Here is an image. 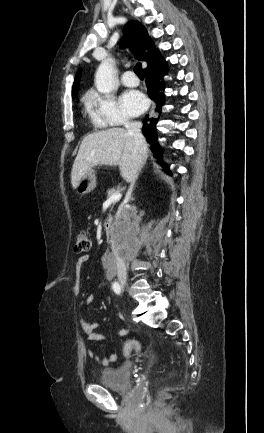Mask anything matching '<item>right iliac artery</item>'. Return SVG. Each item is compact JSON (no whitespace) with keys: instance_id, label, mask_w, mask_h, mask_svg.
<instances>
[{"instance_id":"obj_1","label":"right iliac artery","mask_w":264,"mask_h":433,"mask_svg":"<svg viewBox=\"0 0 264 433\" xmlns=\"http://www.w3.org/2000/svg\"><path fill=\"white\" fill-rule=\"evenodd\" d=\"M112 289L116 294H120L121 293V286L119 285L118 282H114L112 284Z\"/></svg>"}]
</instances>
